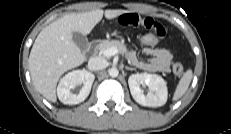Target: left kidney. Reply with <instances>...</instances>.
Segmentation results:
<instances>
[{
    "label": "left kidney",
    "mask_w": 231,
    "mask_h": 134,
    "mask_svg": "<svg viewBox=\"0 0 231 134\" xmlns=\"http://www.w3.org/2000/svg\"><path fill=\"white\" fill-rule=\"evenodd\" d=\"M130 92L134 100L143 106L159 107L167 101V86L165 80L156 74L136 73L128 79ZM141 86H147L149 91L144 94Z\"/></svg>",
    "instance_id": "obj_1"
}]
</instances>
